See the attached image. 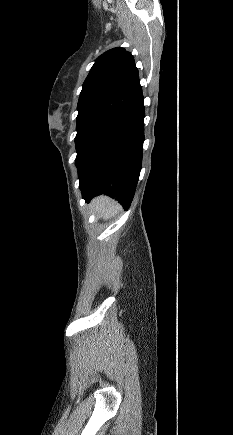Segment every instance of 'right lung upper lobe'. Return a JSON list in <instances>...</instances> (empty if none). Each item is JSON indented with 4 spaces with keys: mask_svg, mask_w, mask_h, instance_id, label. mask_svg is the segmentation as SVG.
<instances>
[{
    "mask_svg": "<svg viewBox=\"0 0 233 435\" xmlns=\"http://www.w3.org/2000/svg\"><path fill=\"white\" fill-rule=\"evenodd\" d=\"M142 100L133 56L121 47L113 48L96 59L85 79L77 117L100 112L124 116Z\"/></svg>",
    "mask_w": 233,
    "mask_h": 435,
    "instance_id": "right-lung-upper-lobe-1",
    "label": "right lung upper lobe"
}]
</instances>
